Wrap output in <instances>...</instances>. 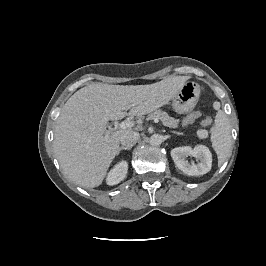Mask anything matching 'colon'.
<instances>
[{"mask_svg": "<svg viewBox=\"0 0 266 266\" xmlns=\"http://www.w3.org/2000/svg\"><path fill=\"white\" fill-rule=\"evenodd\" d=\"M199 117H200V113H199V112H192V113L188 114V115L185 117V119H184V123H185L186 125L191 124V123H193L196 119H198ZM210 123H211V119H210L209 117L204 118L203 121H202V125H203L204 127L210 125Z\"/></svg>", "mask_w": 266, "mask_h": 266, "instance_id": "obj_1", "label": "colon"}]
</instances>
